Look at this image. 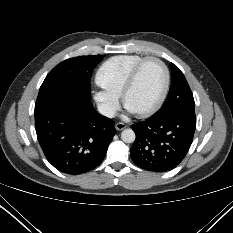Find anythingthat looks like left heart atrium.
Masks as SVG:
<instances>
[{"label":"left heart atrium","mask_w":233,"mask_h":233,"mask_svg":"<svg viewBox=\"0 0 233 233\" xmlns=\"http://www.w3.org/2000/svg\"><path fill=\"white\" fill-rule=\"evenodd\" d=\"M126 109L129 113H135L132 109H130L129 107L126 106Z\"/></svg>","instance_id":"39dd6f15"}]
</instances>
